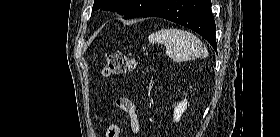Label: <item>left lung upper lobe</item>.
Here are the masks:
<instances>
[{"mask_svg":"<svg viewBox=\"0 0 280 137\" xmlns=\"http://www.w3.org/2000/svg\"><path fill=\"white\" fill-rule=\"evenodd\" d=\"M160 0H95L92 10L101 8L117 12L124 19L141 17L144 13L154 7Z\"/></svg>","mask_w":280,"mask_h":137,"instance_id":"left-lung-upper-lobe-1","label":"left lung upper lobe"}]
</instances>
